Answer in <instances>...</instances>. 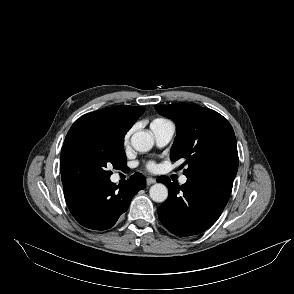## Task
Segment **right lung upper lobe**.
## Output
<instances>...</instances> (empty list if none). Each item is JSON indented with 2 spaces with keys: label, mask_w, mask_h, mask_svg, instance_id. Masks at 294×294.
Here are the masks:
<instances>
[{
  "label": "right lung upper lobe",
  "mask_w": 294,
  "mask_h": 294,
  "mask_svg": "<svg viewBox=\"0 0 294 294\" xmlns=\"http://www.w3.org/2000/svg\"><path fill=\"white\" fill-rule=\"evenodd\" d=\"M142 106L119 105L91 112L80 117L70 128L76 129H106L126 134L135 121L144 113Z\"/></svg>",
  "instance_id": "obj_1"
}]
</instances>
